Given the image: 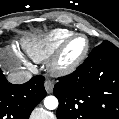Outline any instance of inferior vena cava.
Here are the masks:
<instances>
[{
	"label": "inferior vena cava",
	"mask_w": 119,
	"mask_h": 119,
	"mask_svg": "<svg viewBox=\"0 0 119 119\" xmlns=\"http://www.w3.org/2000/svg\"><path fill=\"white\" fill-rule=\"evenodd\" d=\"M32 78V73L20 68H15L10 71L8 81L12 84H23Z\"/></svg>",
	"instance_id": "inferior-vena-cava-1"
}]
</instances>
